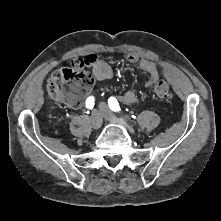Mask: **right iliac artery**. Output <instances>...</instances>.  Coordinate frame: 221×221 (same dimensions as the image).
Returning a JSON list of instances; mask_svg holds the SVG:
<instances>
[{
	"mask_svg": "<svg viewBox=\"0 0 221 221\" xmlns=\"http://www.w3.org/2000/svg\"><path fill=\"white\" fill-rule=\"evenodd\" d=\"M94 104H95V99L93 96H90L86 99L85 105L87 109L92 110L94 107Z\"/></svg>",
	"mask_w": 221,
	"mask_h": 221,
	"instance_id": "82829eb1",
	"label": "right iliac artery"
}]
</instances>
